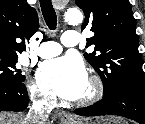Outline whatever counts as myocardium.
<instances>
[{"label": "myocardium", "instance_id": "myocardium-1", "mask_svg": "<svg viewBox=\"0 0 145 124\" xmlns=\"http://www.w3.org/2000/svg\"><path fill=\"white\" fill-rule=\"evenodd\" d=\"M91 85V92L84 98L79 99L76 104L78 106H88L99 101L104 94V84L102 79L97 75H91L88 78Z\"/></svg>", "mask_w": 145, "mask_h": 124}]
</instances>
